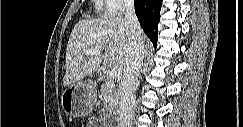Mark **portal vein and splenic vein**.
Here are the masks:
<instances>
[{"mask_svg": "<svg viewBox=\"0 0 243 127\" xmlns=\"http://www.w3.org/2000/svg\"><path fill=\"white\" fill-rule=\"evenodd\" d=\"M86 55H100V51L99 50H89V51H85L84 52ZM109 75L111 78L116 79V78H120L121 76V70L117 67L111 68Z\"/></svg>", "mask_w": 243, "mask_h": 127, "instance_id": "portal-vein-and-splenic-vein-1", "label": "portal vein and splenic vein"}]
</instances>
